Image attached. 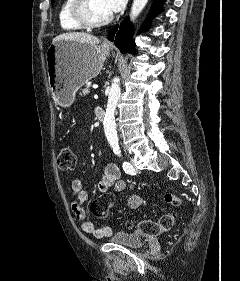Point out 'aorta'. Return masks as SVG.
<instances>
[{
  "label": "aorta",
  "instance_id": "aorta-1",
  "mask_svg": "<svg viewBox=\"0 0 240 281\" xmlns=\"http://www.w3.org/2000/svg\"><path fill=\"white\" fill-rule=\"evenodd\" d=\"M148 0H133L130 18L135 20L141 11L146 6ZM121 89L119 84V79L116 77L113 79L110 92L108 96V103L106 108V113L104 117V132L105 136L110 143L117 142V130L115 123V111L117 107L118 100L120 98Z\"/></svg>",
  "mask_w": 240,
  "mask_h": 281
}]
</instances>
